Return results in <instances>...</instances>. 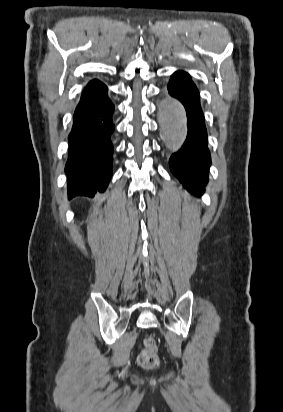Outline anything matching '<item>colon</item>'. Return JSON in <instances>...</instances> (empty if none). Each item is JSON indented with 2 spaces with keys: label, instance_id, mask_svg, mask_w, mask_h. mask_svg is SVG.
Here are the masks:
<instances>
[{
  "label": "colon",
  "instance_id": "obj_1",
  "mask_svg": "<svg viewBox=\"0 0 283 412\" xmlns=\"http://www.w3.org/2000/svg\"><path fill=\"white\" fill-rule=\"evenodd\" d=\"M138 364L144 369L156 368L159 363L158 348L152 335L144 337V348L138 356Z\"/></svg>",
  "mask_w": 283,
  "mask_h": 412
}]
</instances>
